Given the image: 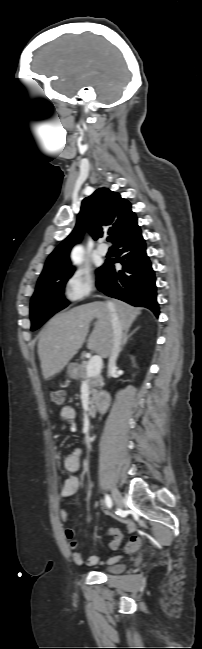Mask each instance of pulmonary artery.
<instances>
[{"label": "pulmonary artery", "mask_w": 202, "mask_h": 649, "mask_svg": "<svg viewBox=\"0 0 202 649\" xmlns=\"http://www.w3.org/2000/svg\"><path fill=\"white\" fill-rule=\"evenodd\" d=\"M97 250H98V253H99L100 255H102V256H104V255H106V254L108 253V247H107L105 244H103V243H101V244L98 246Z\"/></svg>", "instance_id": "1"}]
</instances>
